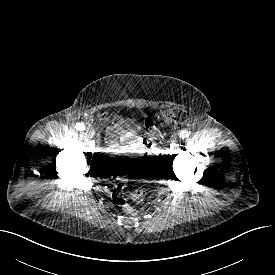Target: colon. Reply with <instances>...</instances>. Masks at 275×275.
Returning a JSON list of instances; mask_svg holds the SVG:
<instances>
[{"label":"colon","mask_w":275,"mask_h":275,"mask_svg":"<svg viewBox=\"0 0 275 275\" xmlns=\"http://www.w3.org/2000/svg\"><path fill=\"white\" fill-rule=\"evenodd\" d=\"M162 116L175 124L184 123L187 120V111L178 105H168L162 108ZM146 126L149 129V134L145 139V145L151 149L158 136V131L153 127L150 120L146 121ZM127 172L123 168L116 170L114 181L112 185V201L113 203L122 208L127 213H134L133 207L130 205L129 200L134 202H142L146 198V192L142 189L135 190L131 193L127 191Z\"/></svg>","instance_id":"colon-1"}]
</instances>
